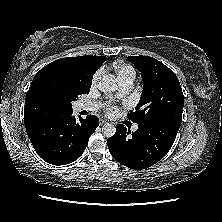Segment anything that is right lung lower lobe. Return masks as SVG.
<instances>
[{"instance_id":"1","label":"right lung lower lobe","mask_w":222,"mask_h":222,"mask_svg":"<svg viewBox=\"0 0 222 222\" xmlns=\"http://www.w3.org/2000/svg\"><path fill=\"white\" fill-rule=\"evenodd\" d=\"M98 125L95 115L79 118L77 122L70 111L45 118L26 127V131L38 155L59 166L74 162L83 154Z\"/></svg>"}]
</instances>
